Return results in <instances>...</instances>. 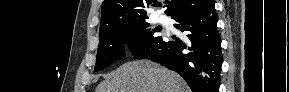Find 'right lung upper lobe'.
<instances>
[{"label": "right lung upper lobe", "instance_id": "1", "mask_svg": "<svg viewBox=\"0 0 289 92\" xmlns=\"http://www.w3.org/2000/svg\"><path fill=\"white\" fill-rule=\"evenodd\" d=\"M209 0L167 1L165 13L172 18L180 13L197 9ZM156 0H104L102 4L100 31L126 21L148 19L147 8L157 6Z\"/></svg>", "mask_w": 289, "mask_h": 92}]
</instances>
